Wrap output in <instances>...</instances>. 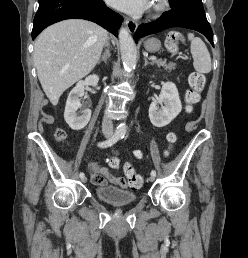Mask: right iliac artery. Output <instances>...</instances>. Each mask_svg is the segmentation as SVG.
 <instances>
[{
	"instance_id": "right-iliac-artery-1",
	"label": "right iliac artery",
	"mask_w": 248,
	"mask_h": 258,
	"mask_svg": "<svg viewBox=\"0 0 248 258\" xmlns=\"http://www.w3.org/2000/svg\"><path fill=\"white\" fill-rule=\"evenodd\" d=\"M121 138V134L115 133L111 138H109L106 141H103L101 143L98 144L99 147L101 148H106L109 146H112L113 144H115L119 139ZM80 178L85 177V174L83 172H81L79 174Z\"/></svg>"
}]
</instances>
